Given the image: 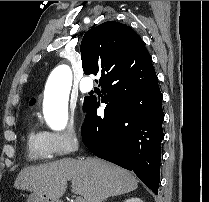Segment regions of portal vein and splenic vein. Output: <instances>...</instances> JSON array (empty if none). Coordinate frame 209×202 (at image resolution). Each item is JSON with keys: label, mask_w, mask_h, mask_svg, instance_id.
<instances>
[{"label": "portal vein and splenic vein", "mask_w": 209, "mask_h": 202, "mask_svg": "<svg viewBox=\"0 0 209 202\" xmlns=\"http://www.w3.org/2000/svg\"><path fill=\"white\" fill-rule=\"evenodd\" d=\"M75 202H84V199L79 196L76 198Z\"/></svg>", "instance_id": "portal-vein-and-splenic-vein-1"}]
</instances>
